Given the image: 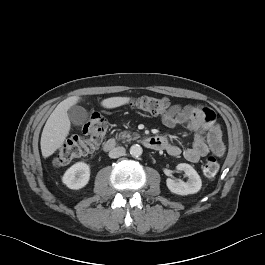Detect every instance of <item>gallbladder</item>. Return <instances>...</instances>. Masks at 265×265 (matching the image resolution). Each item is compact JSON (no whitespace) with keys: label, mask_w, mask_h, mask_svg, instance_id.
I'll list each match as a JSON object with an SVG mask.
<instances>
[{"label":"gallbladder","mask_w":265,"mask_h":265,"mask_svg":"<svg viewBox=\"0 0 265 265\" xmlns=\"http://www.w3.org/2000/svg\"><path fill=\"white\" fill-rule=\"evenodd\" d=\"M68 116L74 125H83L88 120V112L81 106L71 107Z\"/></svg>","instance_id":"1"}]
</instances>
